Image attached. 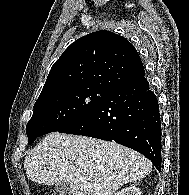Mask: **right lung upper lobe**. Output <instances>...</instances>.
<instances>
[{
  "mask_svg": "<svg viewBox=\"0 0 189 195\" xmlns=\"http://www.w3.org/2000/svg\"><path fill=\"white\" fill-rule=\"evenodd\" d=\"M145 74L137 50L124 37L97 31L72 43L52 66L40 96L77 87L113 90Z\"/></svg>",
  "mask_w": 189,
  "mask_h": 195,
  "instance_id": "cb5924a9",
  "label": "right lung upper lobe"
}]
</instances>
